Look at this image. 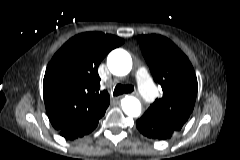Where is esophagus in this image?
<instances>
[{"instance_id":"obj_1","label":"esophagus","mask_w":240,"mask_h":160,"mask_svg":"<svg viewBox=\"0 0 240 160\" xmlns=\"http://www.w3.org/2000/svg\"><path fill=\"white\" fill-rule=\"evenodd\" d=\"M132 95H134V96H139V94H138V93H132Z\"/></svg>"}]
</instances>
